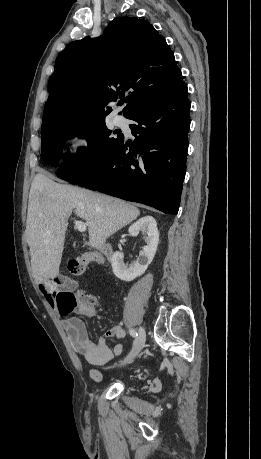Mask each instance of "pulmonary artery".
<instances>
[{"mask_svg": "<svg viewBox=\"0 0 261 459\" xmlns=\"http://www.w3.org/2000/svg\"><path fill=\"white\" fill-rule=\"evenodd\" d=\"M114 122L118 125V126H123L125 124V119L123 116L121 115H116L114 117Z\"/></svg>", "mask_w": 261, "mask_h": 459, "instance_id": "pulmonary-artery-1", "label": "pulmonary artery"}]
</instances>
